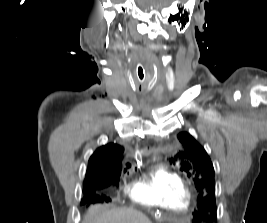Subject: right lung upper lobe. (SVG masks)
Returning a JSON list of instances; mask_svg holds the SVG:
<instances>
[{
	"label": "right lung upper lobe",
	"mask_w": 267,
	"mask_h": 223,
	"mask_svg": "<svg viewBox=\"0 0 267 223\" xmlns=\"http://www.w3.org/2000/svg\"><path fill=\"white\" fill-rule=\"evenodd\" d=\"M123 149L116 144H107L98 148L90 157L85 180H101L108 173L121 171Z\"/></svg>",
	"instance_id": "1"
}]
</instances>
